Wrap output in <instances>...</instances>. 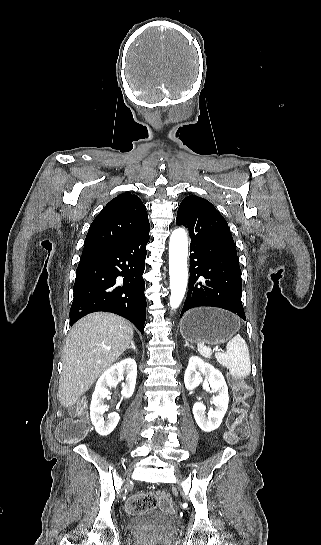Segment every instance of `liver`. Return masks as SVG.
I'll use <instances>...</instances> for the list:
<instances>
[{
  "mask_svg": "<svg viewBox=\"0 0 321 545\" xmlns=\"http://www.w3.org/2000/svg\"><path fill=\"white\" fill-rule=\"evenodd\" d=\"M132 339L128 321L112 313H92L75 323L62 355L58 391L62 407H73L126 351Z\"/></svg>",
  "mask_w": 321,
  "mask_h": 545,
  "instance_id": "6515ba94",
  "label": "liver"
}]
</instances>
